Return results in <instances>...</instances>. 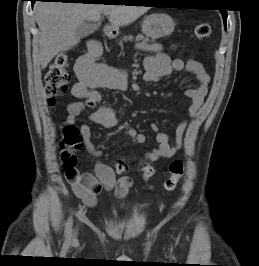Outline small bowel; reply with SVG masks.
I'll list each match as a JSON object with an SVG mask.
<instances>
[{
  "label": "small bowel",
  "mask_w": 259,
  "mask_h": 266,
  "mask_svg": "<svg viewBox=\"0 0 259 266\" xmlns=\"http://www.w3.org/2000/svg\"><path fill=\"white\" fill-rule=\"evenodd\" d=\"M155 51L144 59V80L149 83L158 82L161 78L171 75L174 71L186 70L194 75L198 81V86L186 90L185 94L191 99L189 116L196 117L201 109L204 98L208 93L210 77L203 65L196 60L172 59L159 45H152ZM98 54H94L90 49L77 60L74 70L77 82L72 87V95L78 98L67 106V123L73 125L77 118L88 108H94L101 100L102 94L99 88H110L122 90L126 87V75L123 70L108 67L96 63ZM91 120L105 128L114 127L117 124L116 111L109 106H102L90 115ZM156 133L157 147L144 154L149 161H157L173 157L182 147L183 137L186 129V122L181 121L175 131V141L170 142L169 135L160 132L157 124L150 125ZM85 147L87 151L99 157L101 155L90 141L91 131L87 125L80 127ZM126 135L134 143H144L146 137L130 128ZM66 179L71 185L73 193L80 198L87 206H94L97 195L102 191L114 190L117 197H124L132 186L129 177L116 179L115 171L109 165L98 161L95 164V172L80 173L77 170L66 172Z\"/></svg>",
  "instance_id": "small-bowel-1"
}]
</instances>
